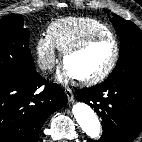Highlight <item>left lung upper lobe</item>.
<instances>
[{
	"label": "left lung upper lobe",
	"mask_w": 142,
	"mask_h": 142,
	"mask_svg": "<svg viewBox=\"0 0 142 142\" xmlns=\"http://www.w3.org/2000/svg\"><path fill=\"white\" fill-rule=\"evenodd\" d=\"M111 22L121 40L120 57L104 82L142 80V31L133 22L116 14Z\"/></svg>",
	"instance_id": "5c2ea615"
}]
</instances>
